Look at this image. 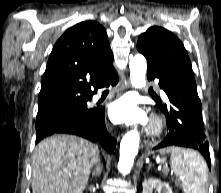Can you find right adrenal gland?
Instances as JSON below:
<instances>
[{
	"instance_id": "obj_1",
	"label": "right adrenal gland",
	"mask_w": 221,
	"mask_h": 193,
	"mask_svg": "<svg viewBox=\"0 0 221 193\" xmlns=\"http://www.w3.org/2000/svg\"><path fill=\"white\" fill-rule=\"evenodd\" d=\"M101 172H102V166L100 164V161L98 160L96 162V168L95 170L93 171L92 175L93 176H96V177H99L101 175Z\"/></svg>"
}]
</instances>
